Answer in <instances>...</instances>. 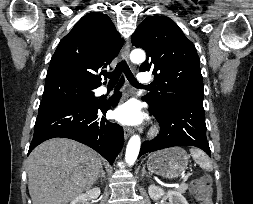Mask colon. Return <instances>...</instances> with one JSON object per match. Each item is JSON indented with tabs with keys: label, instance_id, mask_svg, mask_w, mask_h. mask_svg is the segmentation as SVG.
Listing matches in <instances>:
<instances>
[{
	"label": "colon",
	"instance_id": "colon-1",
	"mask_svg": "<svg viewBox=\"0 0 253 204\" xmlns=\"http://www.w3.org/2000/svg\"><path fill=\"white\" fill-rule=\"evenodd\" d=\"M191 192L195 195L199 204H213L209 178L203 177L194 181L191 184Z\"/></svg>",
	"mask_w": 253,
	"mask_h": 204
}]
</instances>
